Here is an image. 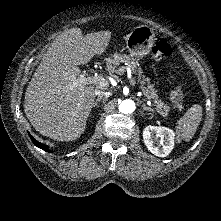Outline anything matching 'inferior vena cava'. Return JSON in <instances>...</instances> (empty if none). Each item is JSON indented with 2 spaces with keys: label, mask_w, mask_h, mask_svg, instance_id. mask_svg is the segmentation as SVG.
<instances>
[{
  "label": "inferior vena cava",
  "mask_w": 221,
  "mask_h": 221,
  "mask_svg": "<svg viewBox=\"0 0 221 221\" xmlns=\"http://www.w3.org/2000/svg\"><path fill=\"white\" fill-rule=\"evenodd\" d=\"M95 95H98L100 98H102L105 95V92L100 90H95Z\"/></svg>",
  "instance_id": "1"
}]
</instances>
